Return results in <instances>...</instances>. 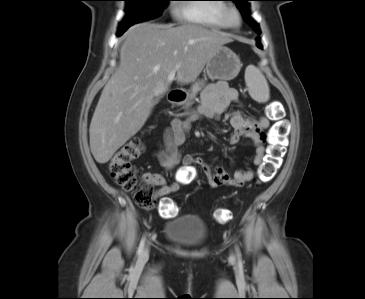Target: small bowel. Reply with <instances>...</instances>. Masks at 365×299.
<instances>
[{"label":"small bowel","instance_id":"obj_1","mask_svg":"<svg viewBox=\"0 0 365 299\" xmlns=\"http://www.w3.org/2000/svg\"><path fill=\"white\" fill-rule=\"evenodd\" d=\"M238 100V92L228 87L225 83H213L206 87L202 93V102L195 111L185 119L174 118L164 136V148L156 156L160 164L166 170H172L180 163L182 166L175 181L167 180L158 173H145L143 179L146 183L158 186L156 197L164 198L169 194L177 192L180 186L190 181L194 173L199 169L212 187L230 186L242 187L252 180L254 172L251 169L237 170L233 174L228 173L222 167L211 168L203 160L193 156H182L180 147L186 141L191 128V123L200 118H217L233 102ZM230 124L233 133L230 136V143L237 144L241 139L247 138L255 145L253 163L260 165L266 153L265 130L269 127V120L266 117L247 118L239 113L230 117ZM166 200V199H165Z\"/></svg>","mask_w":365,"mask_h":299}]
</instances>
